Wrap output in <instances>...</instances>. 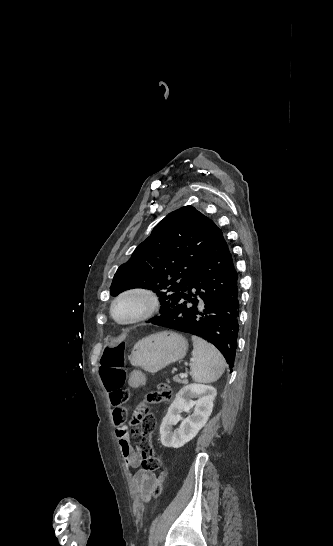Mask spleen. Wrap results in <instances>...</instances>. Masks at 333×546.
<instances>
[{"label": "spleen", "mask_w": 333, "mask_h": 546, "mask_svg": "<svg viewBox=\"0 0 333 546\" xmlns=\"http://www.w3.org/2000/svg\"><path fill=\"white\" fill-rule=\"evenodd\" d=\"M191 376L198 383H212L224 373L226 362L222 354L205 340L192 336Z\"/></svg>", "instance_id": "spleen-1"}]
</instances>
